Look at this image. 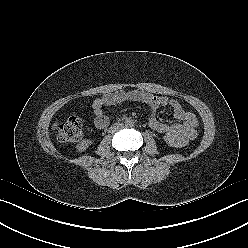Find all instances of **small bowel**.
Returning a JSON list of instances; mask_svg holds the SVG:
<instances>
[{"mask_svg": "<svg viewBox=\"0 0 248 248\" xmlns=\"http://www.w3.org/2000/svg\"><path fill=\"white\" fill-rule=\"evenodd\" d=\"M125 101H135L146 104L150 109L148 120L149 127L161 134H174L180 138L183 145L197 136L198 119L192 112L185 110L174 99L157 96L141 90H118L107 93L93 101L94 124L98 129H104L109 124V119L104 112V107L119 104ZM169 106L173 110L174 117L181 123L167 124L156 117L159 107Z\"/></svg>", "mask_w": 248, "mask_h": 248, "instance_id": "obj_1", "label": "small bowel"}]
</instances>
